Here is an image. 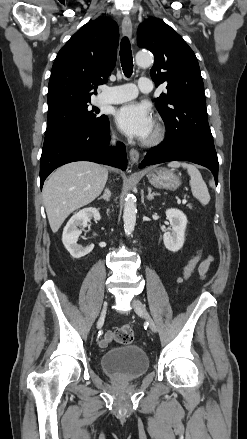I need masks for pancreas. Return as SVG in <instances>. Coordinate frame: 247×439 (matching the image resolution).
Listing matches in <instances>:
<instances>
[{
    "instance_id": "1",
    "label": "pancreas",
    "mask_w": 247,
    "mask_h": 439,
    "mask_svg": "<svg viewBox=\"0 0 247 439\" xmlns=\"http://www.w3.org/2000/svg\"><path fill=\"white\" fill-rule=\"evenodd\" d=\"M188 207H189L190 209H192V206H191L190 204L188 205Z\"/></svg>"
}]
</instances>
